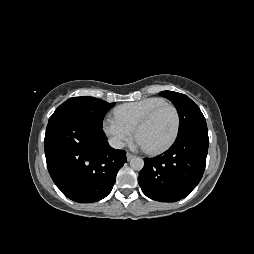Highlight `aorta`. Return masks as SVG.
<instances>
[{
	"label": "aorta",
	"mask_w": 254,
	"mask_h": 254,
	"mask_svg": "<svg viewBox=\"0 0 254 254\" xmlns=\"http://www.w3.org/2000/svg\"><path fill=\"white\" fill-rule=\"evenodd\" d=\"M130 166L132 169L140 171L144 167V160L140 157H134L130 161Z\"/></svg>",
	"instance_id": "obj_1"
}]
</instances>
